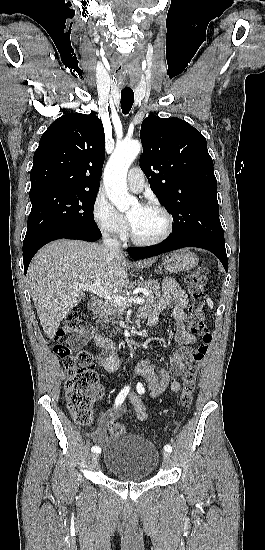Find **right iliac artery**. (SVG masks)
Masks as SVG:
<instances>
[{
  "label": "right iliac artery",
  "mask_w": 265,
  "mask_h": 550,
  "mask_svg": "<svg viewBox=\"0 0 265 550\" xmlns=\"http://www.w3.org/2000/svg\"><path fill=\"white\" fill-rule=\"evenodd\" d=\"M129 390H130V386H125L121 392L118 394V396L116 397L115 399V405L118 406V405H121L123 403V401L125 400L127 394L129 393ZM91 451L92 452H95V453H100L101 452V448L99 446H93L91 448Z\"/></svg>",
  "instance_id": "82829eb1"
}]
</instances>
